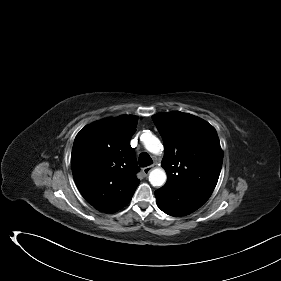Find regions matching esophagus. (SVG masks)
Returning <instances> with one entry per match:
<instances>
[{
    "instance_id": "1",
    "label": "esophagus",
    "mask_w": 281,
    "mask_h": 281,
    "mask_svg": "<svg viewBox=\"0 0 281 281\" xmlns=\"http://www.w3.org/2000/svg\"><path fill=\"white\" fill-rule=\"evenodd\" d=\"M155 167V165H150V166H147L145 168L142 169V172L144 173V175H148L150 173V171Z\"/></svg>"
}]
</instances>
